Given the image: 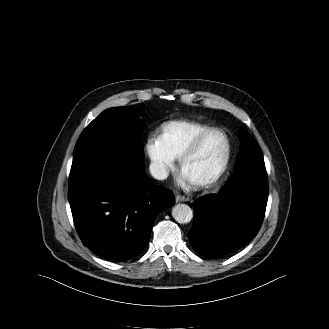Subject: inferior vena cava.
Masks as SVG:
<instances>
[{"instance_id": "inferior-vena-cava-1", "label": "inferior vena cava", "mask_w": 329, "mask_h": 329, "mask_svg": "<svg viewBox=\"0 0 329 329\" xmlns=\"http://www.w3.org/2000/svg\"><path fill=\"white\" fill-rule=\"evenodd\" d=\"M150 173L151 175L158 180H164L168 177L169 172L167 171L164 164L159 162H152L150 164Z\"/></svg>"}]
</instances>
